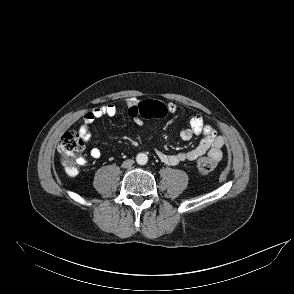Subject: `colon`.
I'll list each match as a JSON object with an SVG mask.
<instances>
[{
  "label": "colon",
  "instance_id": "colon-1",
  "mask_svg": "<svg viewBox=\"0 0 294 294\" xmlns=\"http://www.w3.org/2000/svg\"><path fill=\"white\" fill-rule=\"evenodd\" d=\"M130 116L133 118L141 117L146 119L162 118L167 114L164 103L157 100H145L134 104L128 108ZM84 148V142L76 131L65 133L59 142L58 151L62 156L65 171L70 176H75L78 172V164L82 163L80 154ZM217 166L213 157H202L197 161V169L200 174L208 175Z\"/></svg>",
  "mask_w": 294,
  "mask_h": 294
}]
</instances>
